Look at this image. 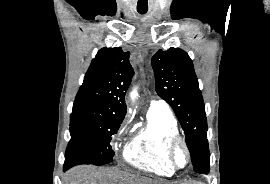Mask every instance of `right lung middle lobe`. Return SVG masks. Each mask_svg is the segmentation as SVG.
<instances>
[{
    "instance_id": "obj_1",
    "label": "right lung middle lobe",
    "mask_w": 270,
    "mask_h": 184,
    "mask_svg": "<svg viewBox=\"0 0 270 184\" xmlns=\"http://www.w3.org/2000/svg\"><path fill=\"white\" fill-rule=\"evenodd\" d=\"M122 121L100 114L88 104L74 103L64 170L76 164L104 165L112 162L114 151L110 141Z\"/></svg>"
}]
</instances>
